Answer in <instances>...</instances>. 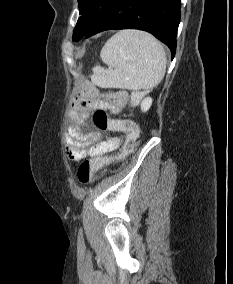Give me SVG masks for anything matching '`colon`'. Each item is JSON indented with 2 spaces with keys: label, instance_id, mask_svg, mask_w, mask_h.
Segmentation results:
<instances>
[{
  "label": "colon",
  "instance_id": "obj_1",
  "mask_svg": "<svg viewBox=\"0 0 233 284\" xmlns=\"http://www.w3.org/2000/svg\"><path fill=\"white\" fill-rule=\"evenodd\" d=\"M147 90H135L132 92L130 105L136 106L145 96ZM95 126L102 131H123L126 132L124 144L115 157H94L84 160L78 168V179L82 184H90L94 181L96 172L105 164L118 159H123L128 156L134 149L139 139V129L137 125L127 124L122 120L109 118L104 109H97L93 115Z\"/></svg>",
  "mask_w": 233,
  "mask_h": 284
}]
</instances>
